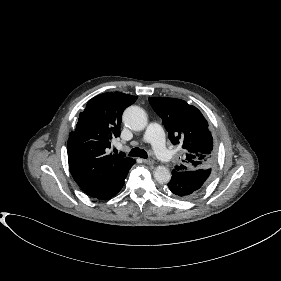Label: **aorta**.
Segmentation results:
<instances>
[{
	"instance_id": "obj_1",
	"label": "aorta",
	"mask_w": 281,
	"mask_h": 281,
	"mask_svg": "<svg viewBox=\"0 0 281 281\" xmlns=\"http://www.w3.org/2000/svg\"><path fill=\"white\" fill-rule=\"evenodd\" d=\"M123 121L127 126L136 131L143 130L148 122L145 111L138 106L126 108L123 113ZM154 178L159 183H168L171 179V173L165 166H157L154 170Z\"/></svg>"
}]
</instances>
